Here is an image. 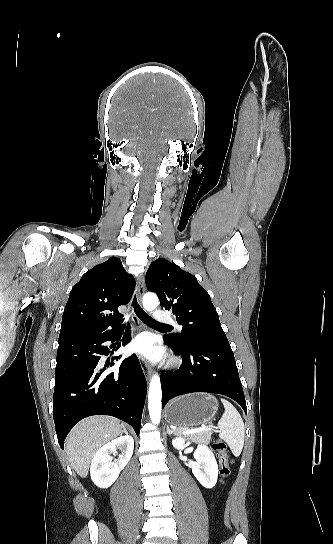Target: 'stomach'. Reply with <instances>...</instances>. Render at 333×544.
I'll use <instances>...</instances> for the list:
<instances>
[{
  "instance_id": "0dacf381",
  "label": "stomach",
  "mask_w": 333,
  "mask_h": 544,
  "mask_svg": "<svg viewBox=\"0 0 333 544\" xmlns=\"http://www.w3.org/2000/svg\"><path fill=\"white\" fill-rule=\"evenodd\" d=\"M218 410V400L211 394L194 393L173 400L166 408V419L180 427H193L210 421Z\"/></svg>"
}]
</instances>
